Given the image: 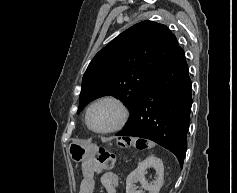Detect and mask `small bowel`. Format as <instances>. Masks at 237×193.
I'll return each instance as SVG.
<instances>
[{
	"instance_id": "small-bowel-1",
	"label": "small bowel",
	"mask_w": 237,
	"mask_h": 193,
	"mask_svg": "<svg viewBox=\"0 0 237 193\" xmlns=\"http://www.w3.org/2000/svg\"><path fill=\"white\" fill-rule=\"evenodd\" d=\"M96 172L102 175V182L106 193H117L118 178L116 174L98 169L94 159H89L85 162L84 177L80 183L78 193H94V174Z\"/></svg>"
}]
</instances>
